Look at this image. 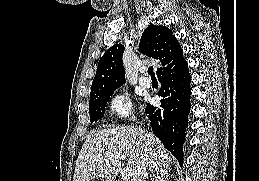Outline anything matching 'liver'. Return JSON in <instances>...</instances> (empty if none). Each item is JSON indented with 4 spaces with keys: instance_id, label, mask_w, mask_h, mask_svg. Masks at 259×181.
I'll list each match as a JSON object with an SVG mask.
<instances>
[{
    "instance_id": "6515ba94",
    "label": "liver",
    "mask_w": 259,
    "mask_h": 181,
    "mask_svg": "<svg viewBox=\"0 0 259 181\" xmlns=\"http://www.w3.org/2000/svg\"><path fill=\"white\" fill-rule=\"evenodd\" d=\"M126 157L131 169L129 181H138L141 169L165 172L173 157L152 133L132 126L107 127L96 130L85 140L76 162L73 181H91L95 178L115 179Z\"/></svg>"
}]
</instances>
